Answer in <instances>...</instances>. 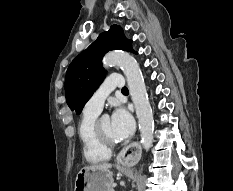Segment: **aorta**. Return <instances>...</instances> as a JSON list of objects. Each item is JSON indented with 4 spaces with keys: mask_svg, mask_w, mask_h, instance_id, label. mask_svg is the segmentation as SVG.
I'll use <instances>...</instances> for the list:
<instances>
[{
    "mask_svg": "<svg viewBox=\"0 0 233 191\" xmlns=\"http://www.w3.org/2000/svg\"><path fill=\"white\" fill-rule=\"evenodd\" d=\"M103 63L105 66H119L123 70L138 118L140 143L148 151L153 143L154 119L139 64L133 56L122 51L107 53Z\"/></svg>",
    "mask_w": 233,
    "mask_h": 191,
    "instance_id": "1",
    "label": "aorta"
}]
</instances>
